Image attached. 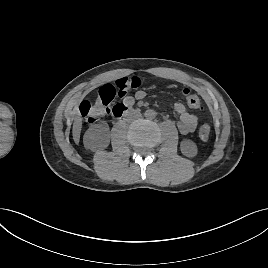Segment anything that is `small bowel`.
I'll return each mask as SVG.
<instances>
[{"instance_id":"c3829d8e","label":"small bowel","mask_w":268,"mask_h":268,"mask_svg":"<svg viewBox=\"0 0 268 268\" xmlns=\"http://www.w3.org/2000/svg\"><path fill=\"white\" fill-rule=\"evenodd\" d=\"M146 95V91L140 89L136 91L134 95L126 96L123 100V104L131 107L135 100H143ZM173 111L178 116L177 127L181 134L186 135L192 133L196 129L199 123V118L195 114L188 112L184 104L175 103Z\"/></svg>"}]
</instances>
